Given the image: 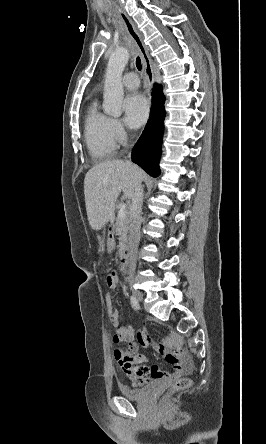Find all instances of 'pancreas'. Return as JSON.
<instances>
[{
  "mask_svg": "<svg viewBox=\"0 0 266 444\" xmlns=\"http://www.w3.org/2000/svg\"><path fill=\"white\" fill-rule=\"evenodd\" d=\"M128 230H129V218L127 215L124 217H117L115 222V231L117 235H119L120 248H121V257H123V249L126 247L127 239H128Z\"/></svg>",
  "mask_w": 266,
  "mask_h": 444,
  "instance_id": "obj_1",
  "label": "pancreas"
}]
</instances>
